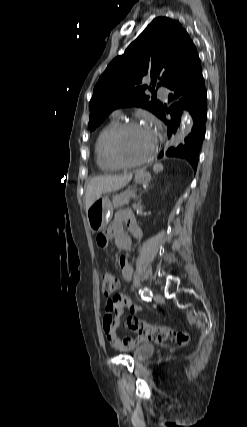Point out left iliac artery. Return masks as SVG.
<instances>
[{"label":"left iliac artery","mask_w":247,"mask_h":427,"mask_svg":"<svg viewBox=\"0 0 247 427\" xmlns=\"http://www.w3.org/2000/svg\"><path fill=\"white\" fill-rule=\"evenodd\" d=\"M139 293H140L142 299H144V300L149 301L152 299L153 294H152L151 290H149L147 287L141 289L139 291Z\"/></svg>","instance_id":"obj_1"}]
</instances>
